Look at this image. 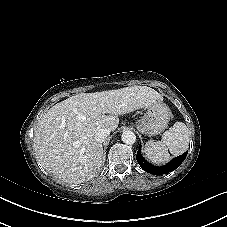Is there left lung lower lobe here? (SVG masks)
Masks as SVG:
<instances>
[{"mask_svg":"<svg viewBox=\"0 0 227 227\" xmlns=\"http://www.w3.org/2000/svg\"><path fill=\"white\" fill-rule=\"evenodd\" d=\"M140 148H141V146H140ZM140 148L137 151V155H136V159H137L139 165L141 166V168L144 171L154 174V175H161V174H166V173L172 172L177 167H179V165L184 161V159L186 158L187 153H188V151H186L182 155L177 156L176 158L172 159L168 164L159 167V166H153V165L149 164L142 157Z\"/></svg>","mask_w":227,"mask_h":227,"instance_id":"0a47b994","label":"left lung lower lobe"}]
</instances>
